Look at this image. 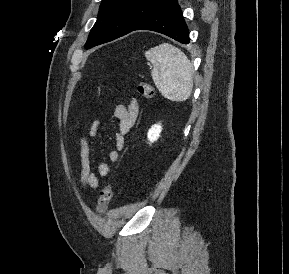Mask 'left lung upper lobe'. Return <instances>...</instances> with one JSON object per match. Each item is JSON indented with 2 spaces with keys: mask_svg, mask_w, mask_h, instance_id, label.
<instances>
[{
  "mask_svg": "<svg viewBox=\"0 0 289 274\" xmlns=\"http://www.w3.org/2000/svg\"><path fill=\"white\" fill-rule=\"evenodd\" d=\"M168 0H103L85 48L100 45L133 31Z\"/></svg>",
  "mask_w": 289,
  "mask_h": 274,
  "instance_id": "1",
  "label": "left lung upper lobe"
}]
</instances>
